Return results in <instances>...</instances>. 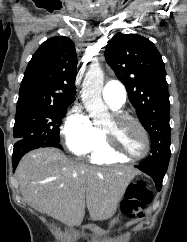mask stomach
Masks as SVG:
<instances>
[{
	"label": "stomach",
	"instance_id": "obj_1",
	"mask_svg": "<svg viewBox=\"0 0 187 242\" xmlns=\"http://www.w3.org/2000/svg\"><path fill=\"white\" fill-rule=\"evenodd\" d=\"M118 222V218H114L110 221V227L114 226ZM94 231L97 236H102L104 234V231L98 227L94 228Z\"/></svg>",
	"mask_w": 187,
	"mask_h": 242
}]
</instances>
